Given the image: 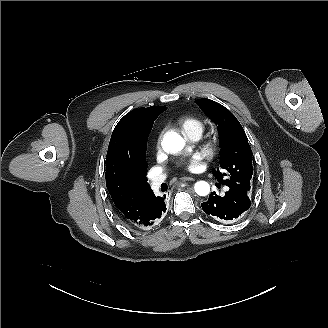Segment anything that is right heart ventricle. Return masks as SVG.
Returning <instances> with one entry per match:
<instances>
[{"mask_svg": "<svg viewBox=\"0 0 328 328\" xmlns=\"http://www.w3.org/2000/svg\"><path fill=\"white\" fill-rule=\"evenodd\" d=\"M178 125L183 135L187 139L193 140L204 134L207 128V121L202 117L190 116L180 120Z\"/></svg>", "mask_w": 328, "mask_h": 328, "instance_id": "1", "label": "right heart ventricle"}]
</instances>
